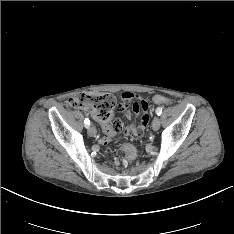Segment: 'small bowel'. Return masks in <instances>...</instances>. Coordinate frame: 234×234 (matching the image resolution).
Returning <instances> with one entry per match:
<instances>
[{
	"label": "small bowel",
	"mask_w": 234,
	"mask_h": 234,
	"mask_svg": "<svg viewBox=\"0 0 234 234\" xmlns=\"http://www.w3.org/2000/svg\"><path fill=\"white\" fill-rule=\"evenodd\" d=\"M122 98L123 99L119 104V108L127 119L130 120L132 118V112L136 114L141 113V119L136 127L135 125H129L125 128L126 135L133 136L134 139L139 140L147 131L148 122L150 120V114L148 112L149 109L148 102L146 99L142 98L141 96L130 92L124 93ZM132 101H134V103L132 104L130 110L129 106L131 105ZM157 104H162V103H157ZM99 122L103 130L101 143L104 145H108L109 143H111L115 134L117 132L122 131L123 129L121 120L117 118H113L111 120V123L104 121H99Z\"/></svg>",
	"instance_id": "c3829d8e"
}]
</instances>
